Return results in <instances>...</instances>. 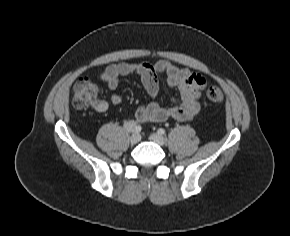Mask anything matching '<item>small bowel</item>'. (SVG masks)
<instances>
[{
	"label": "small bowel",
	"mask_w": 290,
	"mask_h": 236,
	"mask_svg": "<svg viewBox=\"0 0 290 236\" xmlns=\"http://www.w3.org/2000/svg\"><path fill=\"white\" fill-rule=\"evenodd\" d=\"M131 74L140 76L144 88L150 96L149 103L135 111L134 121L138 123L163 122L169 118L184 121L192 119L199 113L201 108L199 99L207 83L206 78L202 75L192 73L186 68H180L167 61H157L155 63L112 64L98 75V79L109 89L115 90L119 85L120 78ZM161 75L165 77L170 88L176 89L180 93L181 102L173 107L165 108L158 102L161 90L159 76ZM121 102L122 97L113 93L109 100L97 98L91 106L97 112H105L110 103L119 105ZM134 121L129 122L134 123Z\"/></svg>",
	"instance_id": "small-bowel-1"
}]
</instances>
